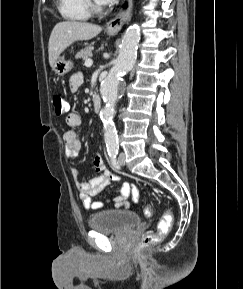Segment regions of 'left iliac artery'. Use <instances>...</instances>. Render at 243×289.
Masks as SVG:
<instances>
[{"label": "left iliac artery", "mask_w": 243, "mask_h": 289, "mask_svg": "<svg viewBox=\"0 0 243 289\" xmlns=\"http://www.w3.org/2000/svg\"><path fill=\"white\" fill-rule=\"evenodd\" d=\"M117 154H118V151H111V152H109L111 164H112L115 168L118 169V168H119V165H118V162H117V159H116Z\"/></svg>", "instance_id": "obj_1"}]
</instances>
